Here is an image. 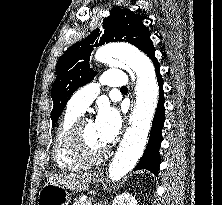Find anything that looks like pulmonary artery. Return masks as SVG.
I'll return each instance as SVG.
<instances>
[{
    "instance_id": "1",
    "label": "pulmonary artery",
    "mask_w": 222,
    "mask_h": 205,
    "mask_svg": "<svg viewBox=\"0 0 222 205\" xmlns=\"http://www.w3.org/2000/svg\"><path fill=\"white\" fill-rule=\"evenodd\" d=\"M105 85L117 89L125 87L128 83L126 75L123 71L108 69L105 72L102 81ZM99 93V86L96 83H90L80 88L69 100L68 109L79 114L83 113L90 103Z\"/></svg>"
}]
</instances>
